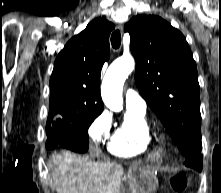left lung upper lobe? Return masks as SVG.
<instances>
[{"mask_svg": "<svg viewBox=\"0 0 221 193\" xmlns=\"http://www.w3.org/2000/svg\"><path fill=\"white\" fill-rule=\"evenodd\" d=\"M124 30L130 34L141 95L185 158L201 153L200 87L185 37L152 15L133 17Z\"/></svg>", "mask_w": 221, "mask_h": 193, "instance_id": "obj_1", "label": "left lung upper lobe"}]
</instances>
